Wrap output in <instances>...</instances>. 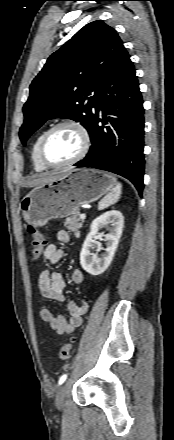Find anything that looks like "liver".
I'll use <instances>...</instances> for the list:
<instances>
[{
    "mask_svg": "<svg viewBox=\"0 0 174 440\" xmlns=\"http://www.w3.org/2000/svg\"><path fill=\"white\" fill-rule=\"evenodd\" d=\"M61 173H55V174H49V175H42L40 177H38L37 179L31 180L27 183V186L29 187H34V186H38V185H42L45 183H48L54 179H56L57 177H59Z\"/></svg>",
    "mask_w": 174,
    "mask_h": 440,
    "instance_id": "liver-1",
    "label": "liver"
}]
</instances>
